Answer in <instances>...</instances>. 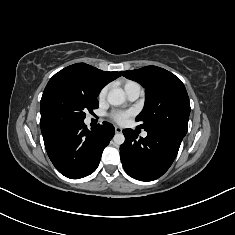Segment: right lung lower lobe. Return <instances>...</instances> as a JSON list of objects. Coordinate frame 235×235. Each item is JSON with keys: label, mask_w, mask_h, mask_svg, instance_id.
Instances as JSON below:
<instances>
[{"label": "right lung lower lobe", "mask_w": 235, "mask_h": 235, "mask_svg": "<svg viewBox=\"0 0 235 235\" xmlns=\"http://www.w3.org/2000/svg\"><path fill=\"white\" fill-rule=\"evenodd\" d=\"M47 154L56 169L72 179L93 173L104 148L114 136L112 124L103 122L88 130L80 123H56L41 126Z\"/></svg>", "instance_id": "98d812e1"}]
</instances>
